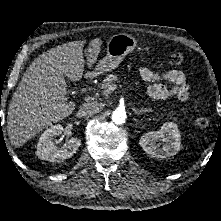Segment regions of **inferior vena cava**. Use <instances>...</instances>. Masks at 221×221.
Returning a JSON list of instances; mask_svg holds the SVG:
<instances>
[{
  "label": "inferior vena cava",
  "mask_w": 221,
  "mask_h": 221,
  "mask_svg": "<svg viewBox=\"0 0 221 221\" xmlns=\"http://www.w3.org/2000/svg\"><path fill=\"white\" fill-rule=\"evenodd\" d=\"M100 109H101V106L98 102L88 101V102L83 103L80 106L79 115L82 117L92 116V115L98 113L100 111Z\"/></svg>",
  "instance_id": "obj_1"
}]
</instances>
